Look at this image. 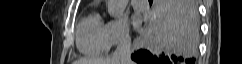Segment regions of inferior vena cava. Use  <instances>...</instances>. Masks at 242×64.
I'll return each mask as SVG.
<instances>
[{
  "instance_id": "obj_1",
  "label": "inferior vena cava",
  "mask_w": 242,
  "mask_h": 64,
  "mask_svg": "<svg viewBox=\"0 0 242 64\" xmlns=\"http://www.w3.org/2000/svg\"><path fill=\"white\" fill-rule=\"evenodd\" d=\"M130 49L131 39L129 35H125L118 44L116 50L114 51L112 59L115 61L116 64H131Z\"/></svg>"
}]
</instances>
